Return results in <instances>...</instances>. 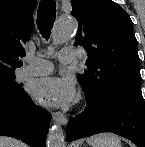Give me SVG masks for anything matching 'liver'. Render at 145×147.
I'll use <instances>...</instances> for the list:
<instances>
[{
  "instance_id": "6515ba94",
  "label": "liver",
  "mask_w": 145,
  "mask_h": 147,
  "mask_svg": "<svg viewBox=\"0 0 145 147\" xmlns=\"http://www.w3.org/2000/svg\"><path fill=\"white\" fill-rule=\"evenodd\" d=\"M0 147H26V146L22 142L17 141L13 138L0 136Z\"/></svg>"
}]
</instances>
